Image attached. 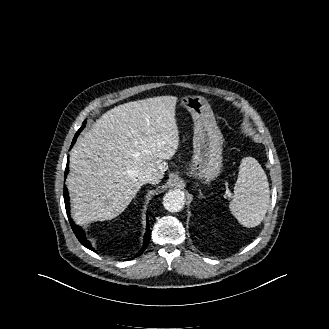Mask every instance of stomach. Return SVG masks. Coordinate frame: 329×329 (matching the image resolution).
<instances>
[{
  "label": "stomach",
  "instance_id": "0dacf381",
  "mask_svg": "<svg viewBox=\"0 0 329 329\" xmlns=\"http://www.w3.org/2000/svg\"><path fill=\"white\" fill-rule=\"evenodd\" d=\"M181 105L190 112L194 122V154L188 174L207 184L215 180L221 172L222 133L217 126L211 106L204 97H183Z\"/></svg>",
  "mask_w": 329,
  "mask_h": 329
}]
</instances>
